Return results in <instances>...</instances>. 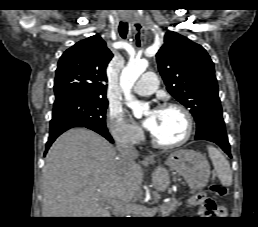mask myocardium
Masks as SVG:
<instances>
[{"mask_svg": "<svg viewBox=\"0 0 258 227\" xmlns=\"http://www.w3.org/2000/svg\"><path fill=\"white\" fill-rule=\"evenodd\" d=\"M169 108L176 109L183 114L186 121V132L181 139L170 143L160 141L152 132H150L151 142L155 147H158V148L171 149V148L182 146L191 138L193 134L194 122L190 111L185 106L175 102H163L159 104L156 109L164 110Z\"/></svg>", "mask_w": 258, "mask_h": 227, "instance_id": "1", "label": "myocardium"}]
</instances>
